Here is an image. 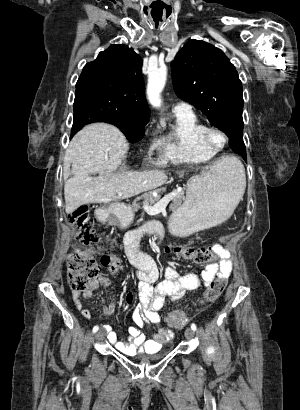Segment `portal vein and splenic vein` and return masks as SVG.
Returning <instances> with one entry per match:
<instances>
[{
	"label": "portal vein and splenic vein",
	"mask_w": 300,
	"mask_h": 410,
	"mask_svg": "<svg viewBox=\"0 0 300 410\" xmlns=\"http://www.w3.org/2000/svg\"><path fill=\"white\" fill-rule=\"evenodd\" d=\"M177 195V192H171L160 199L155 205H144V210L148 213H159L165 209L168 203Z\"/></svg>",
	"instance_id": "1"
}]
</instances>
